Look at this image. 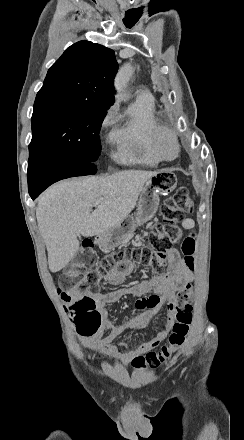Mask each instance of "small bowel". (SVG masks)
<instances>
[{"label":"small bowel","instance_id":"c3829d8e","mask_svg":"<svg viewBox=\"0 0 244 440\" xmlns=\"http://www.w3.org/2000/svg\"><path fill=\"white\" fill-rule=\"evenodd\" d=\"M185 230H192L195 221L186 218L181 222ZM167 270L164 273L147 277L129 287L116 289L107 293L99 292H80L77 289L68 291V295L73 299L88 298L95 302L96 309L101 315V322L98 330L87 337L81 338L82 345L106 361L117 360L122 366H127L133 362L135 353H146L158 347L168 336L172 327V305L176 297V292L190 285L194 280L193 269L188 268L184 258L180 253L172 248L167 253ZM134 272V265L124 258L119 264L112 267L101 279L110 285H120ZM132 295L138 297L136 307L144 312L123 324H115L109 316L107 305L119 302L123 297ZM168 305V315L162 328L154 331L150 326V321L155 317L162 307ZM144 330L150 333L149 340L141 343H131L124 352H118L112 345V341L126 331ZM108 331V336L103 333Z\"/></svg>","mask_w":244,"mask_h":440}]
</instances>
